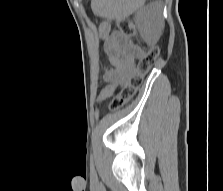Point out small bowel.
Wrapping results in <instances>:
<instances>
[{
    "instance_id": "c3829d8e",
    "label": "small bowel",
    "mask_w": 223,
    "mask_h": 191,
    "mask_svg": "<svg viewBox=\"0 0 223 191\" xmlns=\"http://www.w3.org/2000/svg\"><path fill=\"white\" fill-rule=\"evenodd\" d=\"M105 48L110 67L104 70V80L108 84L101 90L99 101L110 97L116 88L127 84L135 73L136 62L143 55L142 49L119 31L109 35Z\"/></svg>"
}]
</instances>
